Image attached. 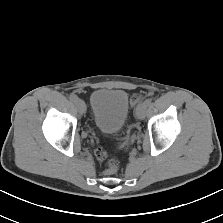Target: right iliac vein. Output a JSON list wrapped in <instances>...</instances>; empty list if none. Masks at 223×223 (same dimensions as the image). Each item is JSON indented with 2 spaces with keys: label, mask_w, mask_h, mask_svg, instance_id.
Returning <instances> with one entry per match:
<instances>
[{
  "label": "right iliac vein",
  "mask_w": 223,
  "mask_h": 223,
  "mask_svg": "<svg viewBox=\"0 0 223 223\" xmlns=\"http://www.w3.org/2000/svg\"><path fill=\"white\" fill-rule=\"evenodd\" d=\"M75 104L81 114H84L86 112V105L83 100L77 99Z\"/></svg>",
  "instance_id": "obj_1"
}]
</instances>
